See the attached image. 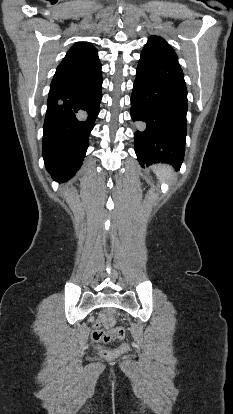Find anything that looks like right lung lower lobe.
<instances>
[{
	"label": "right lung lower lobe",
	"instance_id": "right-lung-lower-lobe-1",
	"mask_svg": "<svg viewBox=\"0 0 233 414\" xmlns=\"http://www.w3.org/2000/svg\"><path fill=\"white\" fill-rule=\"evenodd\" d=\"M101 65L82 74H55L44 121L43 158L53 179H70L81 166L102 98Z\"/></svg>",
	"mask_w": 233,
	"mask_h": 414
}]
</instances>
